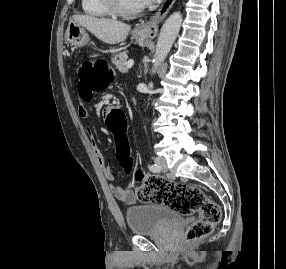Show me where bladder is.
<instances>
[{"instance_id":"1","label":"bladder","mask_w":286,"mask_h":269,"mask_svg":"<svg viewBox=\"0 0 286 269\" xmlns=\"http://www.w3.org/2000/svg\"><path fill=\"white\" fill-rule=\"evenodd\" d=\"M181 220L180 213L165 206L148 204L126 209L129 230L137 236L167 229Z\"/></svg>"}]
</instances>
